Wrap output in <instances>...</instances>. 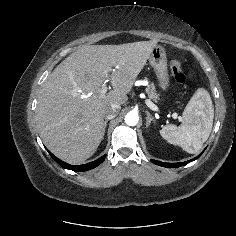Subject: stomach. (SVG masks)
<instances>
[{"mask_svg":"<svg viewBox=\"0 0 236 236\" xmlns=\"http://www.w3.org/2000/svg\"><path fill=\"white\" fill-rule=\"evenodd\" d=\"M149 62L154 68L158 86L166 91L170 85V78L165 49L162 46H155L149 56Z\"/></svg>","mask_w":236,"mask_h":236,"instance_id":"1","label":"stomach"}]
</instances>
